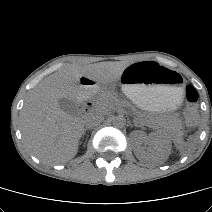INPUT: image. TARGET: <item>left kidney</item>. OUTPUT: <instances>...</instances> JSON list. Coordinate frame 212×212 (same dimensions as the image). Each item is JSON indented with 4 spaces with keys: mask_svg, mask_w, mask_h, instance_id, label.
Segmentation results:
<instances>
[{
    "mask_svg": "<svg viewBox=\"0 0 212 212\" xmlns=\"http://www.w3.org/2000/svg\"><path fill=\"white\" fill-rule=\"evenodd\" d=\"M134 134L138 137L135 155L140 159L152 157L161 161H165L171 151V141L156 133H150L148 136L143 131H136ZM142 144H148L152 147L151 153H148Z\"/></svg>",
    "mask_w": 212,
    "mask_h": 212,
    "instance_id": "1",
    "label": "left kidney"
}]
</instances>
